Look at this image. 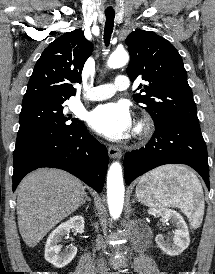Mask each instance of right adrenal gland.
<instances>
[{
	"label": "right adrenal gland",
	"instance_id": "2a0ac1e0",
	"mask_svg": "<svg viewBox=\"0 0 215 274\" xmlns=\"http://www.w3.org/2000/svg\"><path fill=\"white\" fill-rule=\"evenodd\" d=\"M86 201H91L90 198L88 197L87 193H85V199L83 200L81 205H84L86 203Z\"/></svg>",
	"mask_w": 215,
	"mask_h": 274
}]
</instances>
